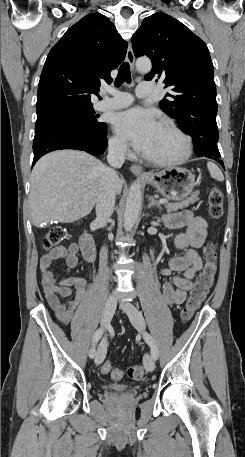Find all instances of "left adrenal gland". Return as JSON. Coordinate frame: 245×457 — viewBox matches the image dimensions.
<instances>
[{"instance_id": "1", "label": "left adrenal gland", "mask_w": 245, "mask_h": 457, "mask_svg": "<svg viewBox=\"0 0 245 457\" xmlns=\"http://www.w3.org/2000/svg\"><path fill=\"white\" fill-rule=\"evenodd\" d=\"M148 200H150V202L148 204V208H151V206H157V208H161L159 202H157V200H155V198H153V196H148Z\"/></svg>"}]
</instances>
